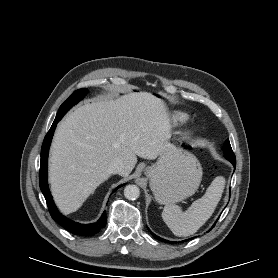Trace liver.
I'll return each mask as SVG.
<instances>
[{
	"label": "liver",
	"mask_w": 278,
	"mask_h": 278,
	"mask_svg": "<svg viewBox=\"0 0 278 278\" xmlns=\"http://www.w3.org/2000/svg\"><path fill=\"white\" fill-rule=\"evenodd\" d=\"M171 124L164 102L147 92L87 103L58 125L51 146L49 181L59 209L78 210L122 160L127 177L137 156L156 159L168 144Z\"/></svg>",
	"instance_id": "1"
}]
</instances>
